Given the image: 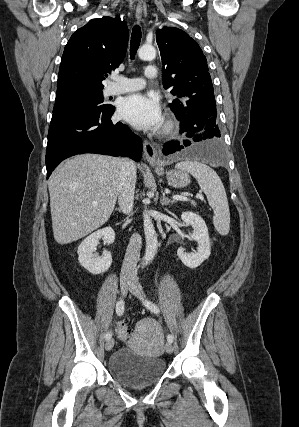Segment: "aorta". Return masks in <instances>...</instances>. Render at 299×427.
Here are the masks:
<instances>
[{
    "mask_svg": "<svg viewBox=\"0 0 299 427\" xmlns=\"http://www.w3.org/2000/svg\"><path fill=\"white\" fill-rule=\"evenodd\" d=\"M138 55L141 60L150 61L155 58L156 49L151 45H143L139 49ZM143 225L146 239V249L143 264L147 265L154 259L157 253L158 239L152 220L146 210L143 213Z\"/></svg>",
    "mask_w": 299,
    "mask_h": 427,
    "instance_id": "1",
    "label": "aorta"
}]
</instances>
